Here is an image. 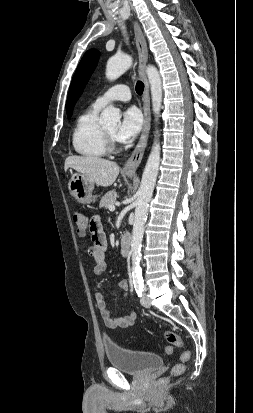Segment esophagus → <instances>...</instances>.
<instances>
[{
	"label": "esophagus",
	"instance_id": "esophagus-1",
	"mask_svg": "<svg viewBox=\"0 0 253 413\" xmlns=\"http://www.w3.org/2000/svg\"><path fill=\"white\" fill-rule=\"evenodd\" d=\"M134 37L135 43L139 56V74L144 82V92H143V112H144V123L142 128V133L139 138L134 151L132 152L129 159L126 161L123 172L126 174H135L137 168L139 167L144 151L147 145V140L151 127V111H150V96H149V82L146 75V64L148 61V49L146 44L145 36L141 30L138 22L133 21Z\"/></svg>",
	"mask_w": 253,
	"mask_h": 413
}]
</instances>
